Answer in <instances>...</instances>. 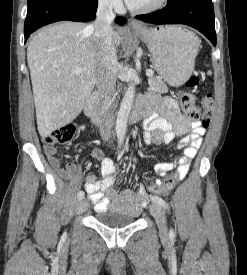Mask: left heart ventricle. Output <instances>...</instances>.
<instances>
[{"instance_id": "b2bd125f", "label": "left heart ventricle", "mask_w": 247, "mask_h": 275, "mask_svg": "<svg viewBox=\"0 0 247 275\" xmlns=\"http://www.w3.org/2000/svg\"><path fill=\"white\" fill-rule=\"evenodd\" d=\"M157 1L159 0H131L130 3L134 7L143 8L152 5Z\"/></svg>"}]
</instances>
